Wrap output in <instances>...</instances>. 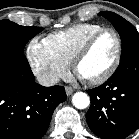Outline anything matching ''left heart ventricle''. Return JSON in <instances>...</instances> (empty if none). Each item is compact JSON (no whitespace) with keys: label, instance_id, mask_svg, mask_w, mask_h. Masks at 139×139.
<instances>
[{"label":"left heart ventricle","instance_id":"b2bd125f","mask_svg":"<svg viewBox=\"0 0 139 139\" xmlns=\"http://www.w3.org/2000/svg\"><path fill=\"white\" fill-rule=\"evenodd\" d=\"M116 52V41L111 33L101 35L80 61L78 74L84 79L101 76L111 65Z\"/></svg>","mask_w":139,"mask_h":139}]
</instances>
